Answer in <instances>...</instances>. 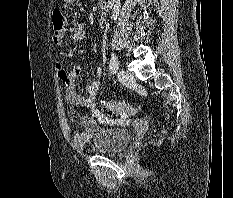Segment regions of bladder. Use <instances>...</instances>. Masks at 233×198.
Returning <instances> with one entry per match:
<instances>
[{
    "label": "bladder",
    "instance_id": "bladder-1",
    "mask_svg": "<svg viewBox=\"0 0 233 198\" xmlns=\"http://www.w3.org/2000/svg\"><path fill=\"white\" fill-rule=\"evenodd\" d=\"M131 139L132 133L127 128L102 127L90 121L83 122L75 134V142L80 147L109 155L124 151Z\"/></svg>",
    "mask_w": 233,
    "mask_h": 198
}]
</instances>
